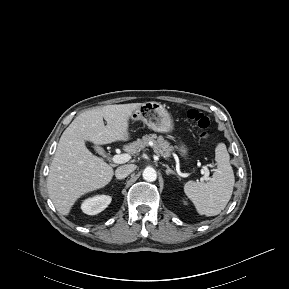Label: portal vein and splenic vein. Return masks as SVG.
Listing matches in <instances>:
<instances>
[{"label":"portal vein and splenic vein","instance_id":"portal-vein-and-splenic-vein-1","mask_svg":"<svg viewBox=\"0 0 289 289\" xmlns=\"http://www.w3.org/2000/svg\"><path fill=\"white\" fill-rule=\"evenodd\" d=\"M166 157V156H164ZM130 159V155L128 154H118V155H114L112 157V161L116 164H122V163H126L128 162ZM203 174L204 176L201 178V181L203 182L204 180H208L209 179V170L207 166L203 167Z\"/></svg>","mask_w":289,"mask_h":289}]
</instances>
